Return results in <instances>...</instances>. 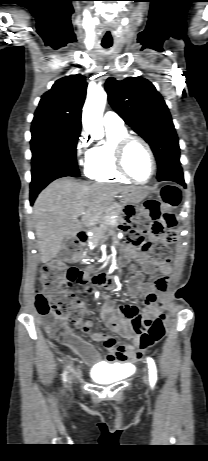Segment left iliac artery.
I'll return each mask as SVG.
<instances>
[{"label": "left iliac artery", "mask_w": 208, "mask_h": 461, "mask_svg": "<svg viewBox=\"0 0 208 461\" xmlns=\"http://www.w3.org/2000/svg\"><path fill=\"white\" fill-rule=\"evenodd\" d=\"M148 365H149V379L151 385H154L156 380H157V370H156V365L153 361L152 358L148 357L147 358Z\"/></svg>", "instance_id": "1"}]
</instances>
